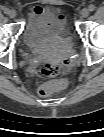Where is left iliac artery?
<instances>
[{
	"mask_svg": "<svg viewBox=\"0 0 104 137\" xmlns=\"http://www.w3.org/2000/svg\"><path fill=\"white\" fill-rule=\"evenodd\" d=\"M89 10H90V11H94V10H95V6L91 4V5L89 6Z\"/></svg>",
	"mask_w": 104,
	"mask_h": 137,
	"instance_id": "44dca946",
	"label": "left iliac artery"
}]
</instances>
